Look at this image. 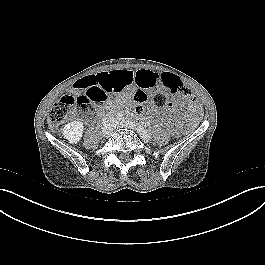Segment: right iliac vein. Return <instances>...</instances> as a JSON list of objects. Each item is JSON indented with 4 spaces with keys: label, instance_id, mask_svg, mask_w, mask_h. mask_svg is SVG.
<instances>
[{
    "label": "right iliac vein",
    "instance_id": "1",
    "mask_svg": "<svg viewBox=\"0 0 265 265\" xmlns=\"http://www.w3.org/2000/svg\"><path fill=\"white\" fill-rule=\"evenodd\" d=\"M115 125V119L110 118L108 123L102 128V134L104 137H109L113 133V127Z\"/></svg>",
    "mask_w": 265,
    "mask_h": 265
}]
</instances>
